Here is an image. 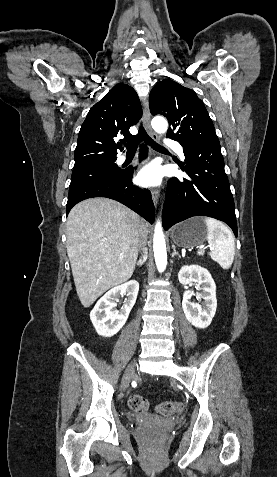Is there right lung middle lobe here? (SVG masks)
<instances>
[{"label": "right lung middle lobe", "instance_id": "dd1d6c3e", "mask_svg": "<svg viewBox=\"0 0 277 477\" xmlns=\"http://www.w3.org/2000/svg\"><path fill=\"white\" fill-rule=\"evenodd\" d=\"M124 170L120 169L115 160L100 163L89 164L77 168H73L69 191L79 186L107 176H121Z\"/></svg>", "mask_w": 277, "mask_h": 477}]
</instances>
